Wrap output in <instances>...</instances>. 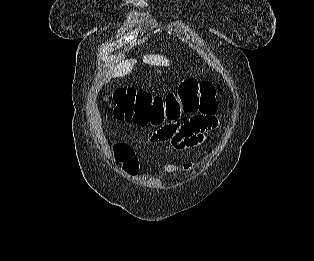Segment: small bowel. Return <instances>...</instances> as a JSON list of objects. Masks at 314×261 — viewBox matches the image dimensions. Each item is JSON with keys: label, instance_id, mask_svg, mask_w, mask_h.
<instances>
[{"label": "small bowel", "instance_id": "small-bowel-1", "mask_svg": "<svg viewBox=\"0 0 314 261\" xmlns=\"http://www.w3.org/2000/svg\"><path fill=\"white\" fill-rule=\"evenodd\" d=\"M215 110L204 112L203 109H196L195 115L189 114L179 117L178 120H165V124L153 133H146V140H164L162 147L171 145L173 151H186L201 144L205 134L215 130L219 126V120L214 114ZM166 171L175 173L177 167L166 166ZM182 169L186 172L195 169L192 163L185 164Z\"/></svg>", "mask_w": 314, "mask_h": 261}]
</instances>
